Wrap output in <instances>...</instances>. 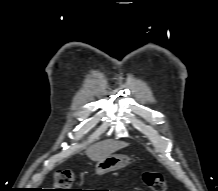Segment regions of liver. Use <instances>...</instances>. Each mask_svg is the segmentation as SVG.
Returning <instances> with one entry per match:
<instances>
[{
	"instance_id": "6515ba94",
	"label": "liver",
	"mask_w": 218,
	"mask_h": 191,
	"mask_svg": "<svg viewBox=\"0 0 218 191\" xmlns=\"http://www.w3.org/2000/svg\"><path fill=\"white\" fill-rule=\"evenodd\" d=\"M128 146V143L121 142V141H115L113 139H107L98 143L93 144L86 150V155L92 160V161H100L108 156H110L112 153L125 148Z\"/></svg>"
}]
</instances>
